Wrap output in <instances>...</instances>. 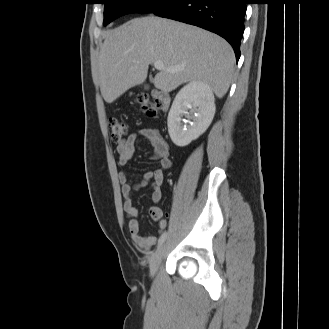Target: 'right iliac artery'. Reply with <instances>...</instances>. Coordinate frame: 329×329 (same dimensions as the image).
<instances>
[{
	"mask_svg": "<svg viewBox=\"0 0 329 329\" xmlns=\"http://www.w3.org/2000/svg\"><path fill=\"white\" fill-rule=\"evenodd\" d=\"M166 236H167V233H163V234L160 236V238L158 239L157 247H160V246L163 244V242H164L165 239H166Z\"/></svg>",
	"mask_w": 329,
	"mask_h": 329,
	"instance_id": "82829eb1",
	"label": "right iliac artery"
}]
</instances>
